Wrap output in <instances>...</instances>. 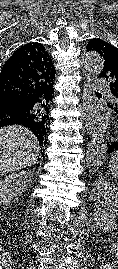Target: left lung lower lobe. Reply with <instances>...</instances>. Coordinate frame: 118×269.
<instances>
[{
  "instance_id": "0a47b994",
  "label": "left lung lower lobe",
  "mask_w": 118,
  "mask_h": 269,
  "mask_svg": "<svg viewBox=\"0 0 118 269\" xmlns=\"http://www.w3.org/2000/svg\"><path fill=\"white\" fill-rule=\"evenodd\" d=\"M115 112L118 115V109H116ZM114 151H118V140H115L113 143L107 145V153L108 154H110Z\"/></svg>"
}]
</instances>
